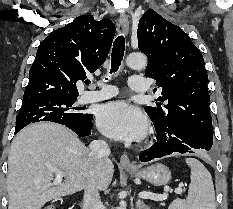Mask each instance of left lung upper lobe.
Segmentation results:
<instances>
[{"mask_svg":"<svg viewBox=\"0 0 233 209\" xmlns=\"http://www.w3.org/2000/svg\"><path fill=\"white\" fill-rule=\"evenodd\" d=\"M138 48L148 57L146 77L161 95L145 111L153 123L187 122L213 133L204 59L182 29L148 10L138 25ZM157 88L154 89L156 91ZM166 105L161 107V102Z\"/></svg>","mask_w":233,"mask_h":209,"instance_id":"1","label":"left lung upper lobe"}]
</instances>
